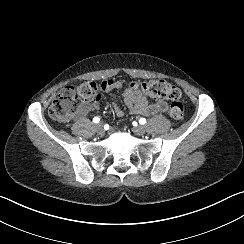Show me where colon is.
I'll list each match as a JSON object with an SVG mask.
<instances>
[{
	"label": "colon",
	"instance_id": "obj_1",
	"mask_svg": "<svg viewBox=\"0 0 244 244\" xmlns=\"http://www.w3.org/2000/svg\"><path fill=\"white\" fill-rule=\"evenodd\" d=\"M132 86L135 89V93H143L151 98L178 101L182 96L179 88L163 80L133 82ZM101 88V84H97L94 81H86L78 85L64 87L50 106L49 115L55 121L67 122L80 103H96L99 99ZM184 115V107L181 103L174 102L171 104L169 117L173 121H182Z\"/></svg>",
	"mask_w": 244,
	"mask_h": 244
}]
</instances>
